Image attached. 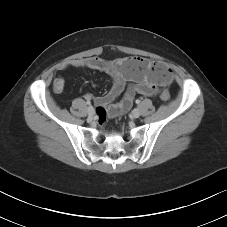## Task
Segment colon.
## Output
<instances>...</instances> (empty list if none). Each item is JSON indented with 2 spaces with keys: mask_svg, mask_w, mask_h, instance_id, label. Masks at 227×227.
I'll return each instance as SVG.
<instances>
[{
  "mask_svg": "<svg viewBox=\"0 0 227 227\" xmlns=\"http://www.w3.org/2000/svg\"><path fill=\"white\" fill-rule=\"evenodd\" d=\"M152 68L160 71L167 77H171V72L169 68L161 62H152ZM160 98L163 101L170 100V93L167 89H162L160 92ZM96 117L100 124H104L107 120V110L103 106H98L96 109Z\"/></svg>",
  "mask_w": 227,
  "mask_h": 227,
  "instance_id": "1",
  "label": "colon"
}]
</instances>
